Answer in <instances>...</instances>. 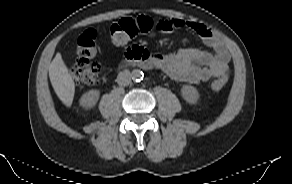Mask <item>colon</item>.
<instances>
[{
	"label": "colon",
	"mask_w": 292,
	"mask_h": 184,
	"mask_svg": "<svg viewBox=\"0 0 292 184\" xmlns=\"http://www.w3.org/2000/svg\"><path fill=\"white\" fill-rule=\"evenodd\" d=\"M157 31L155 21L149 16L123 18L114 23L110 29L111 40L116 45H124L137 35L154 36ZM96 33L93 30L85 31L77 41V57L71 66L74 80L81 85L93 86L104 80L100 63L92 61L96 53ZM229 73L223 74L210 84L212 91H220L228 82Z\"/></svg>",
	"instance_id": "obj_1"
}]
</instances>
